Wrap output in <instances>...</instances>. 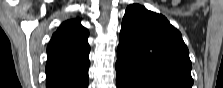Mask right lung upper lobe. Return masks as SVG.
Wrapping results in <instances>:
<instances>
[{
    "mask_svg": "<svg viewBox=\"0 0 223 88\" xmlns=\"http://www.w3.org/2000/svg\"><path fill=\"white\" fill-rule=\"evenodd\" d=\"M88 30L78 20L60 25L47 47V88H76L88 80Z\"/></svg>",
    "mask_w": 223,
    "mask_h": 88,
    "instance_id": "1",
    "label": "right lung upper lobe"
}]
</instances>
